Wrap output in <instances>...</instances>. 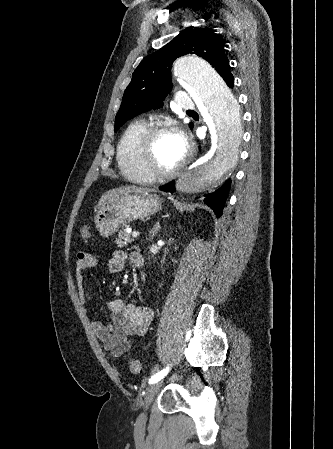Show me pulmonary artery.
I'll list each match as a JSON object with an SVG mask.
<instances>
[{"label": "pulmonary artery", "mask_w": 333, "mask_h": 449, "mask_svg": "<svg viewBox=\"0 0 333 449\" xmlns=\"http://www.w3.org/2000/svg\"><path fill=\"white\" fill-rule=\"evenodd\" d=\"M177 104L185 110L193 109L195 106L193 99L186 92H180L177 95Z\"/></svg>", "instance_id": "pulmonary-artery-1"}]
</instances>
